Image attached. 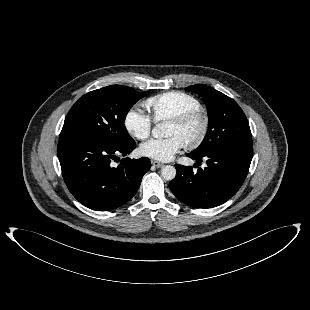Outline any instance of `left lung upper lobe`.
<instances>
[{
	"label": "left lung upper lobe",
	"mask_w": 310,
	"mask_h": 310,
	"mask_svg": "<svg viewBox=\"0 0 310 310\" xmlns=\"http://www.w3.org/2000/svg\"><path fill=\"white\" fill-rule=\"evenodd\" d=\"M186 89L202 96L209 115L206 136L192 153L201 156L225 146L251 143L247 118L232 98L203 84L192 85Z\"/></svg>",
	"instance_id": "1"
}]
</instances>
